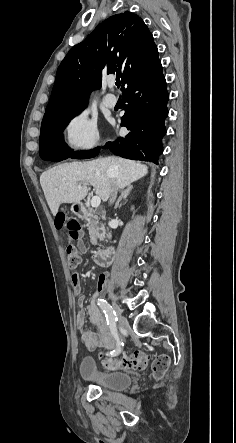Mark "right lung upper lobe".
<instances>
[{
  "label": "right lung upper lobe",
  "mask_w": 236,
  "mask_h": 443,
  "mask_svg": "<svg viewBox=\"0 0 236 443\" xmlns=\"http://www.w3.org/2000/svg\"><path fill=\"white\" fill-rule=\"evenodd\" d=\"M158 60L153 36L139 16L125 11L109 17L61 62L43 120L86 106L106 74L121 76L123 90Z\"/></svg>",
  "instance_id": "cb5924a9"
}]
</instances>
